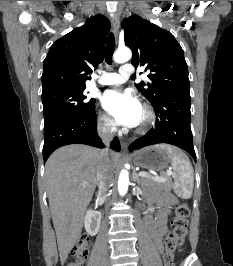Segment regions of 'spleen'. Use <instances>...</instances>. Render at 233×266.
I'll return each instance as SVG.
<instances>
[{
    "mask_svg": "<svg viewBox=\"0 0 233 266\" xmlns=\"http://www.w3.org/2000/svg\"><path fill=\"white\" fill-rule=\"evenodd\" d=\"M156 147L166 150L171 156L175 193L179 197L190 198L194 186V173L188 157L180 149L171 145L159 144Z\"/></svg>",
    "mask_w": 233,
    "mask_h": 266,
    "instance_id": "3e777b00",
    "label": "spleen"
}]
</instances>
